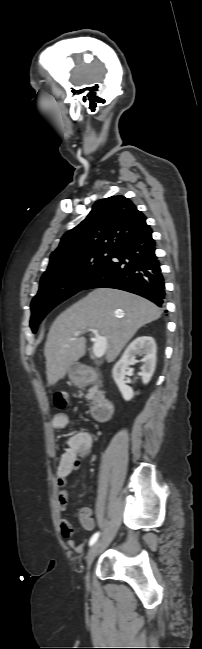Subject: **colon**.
<instances>
[{"label":"colon","mask_w":202,"mask_h":649,"mask_svg":"<svg viewBox=\"0 0 202 649\" xmlns=\"http://www.w3.org/2000/svg\"><path fill=\"white\" fill-rule=\"evenodd\" d=\"M54 403L58 408H66L68 404V394L65 391H58L54 393Z\"/></svg>","instance_id":"colon-1"}]
</instances>
